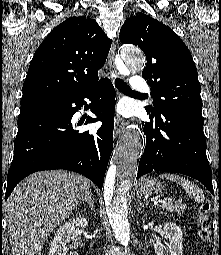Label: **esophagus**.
<instances>
[{
	"label": "esophagus",
	"mask_w": 221,
	"mask_h": 255,
	"mask_svg": "<svg viewBox=\"0 0 221 255\" xmlns=\"http://www.w3.org/2000/svg\"><path fill=\"white\" fill-rule=\"evenodd\" d=\"M115 54H116V45H115V42H113L112 45H111L110 51H109V55H108V66H109V69H110L111 73L114 76H117L118 73H117V70H116L115 64H114ZM124 124H125V122H124L123 118L117 117L115 119V122H114L115 136H117L121 132V130L124 127Z\"/></svg>",
	"instance_id": "esophagus-1"
}]
</instances>
